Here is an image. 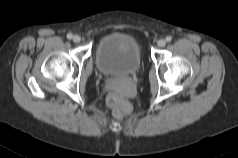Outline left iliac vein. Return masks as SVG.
Instances as JSON below:
<instances>
[{
  "instance_id": "1",
  "label": "left iliac vein",
  "mask_w": 238,
  "mask_h": 158,
  "mask_svg": "<svg viewBox=\"0 0 238 158\" xmlns=\"http://www.w3.org/2000/svg\"><path fill=\"white\" fill-rule=\"evenodd\" d=\"M157 44L159 47H165L166 41L164 39H160Z\"/></svg>"
}]
</instances>
